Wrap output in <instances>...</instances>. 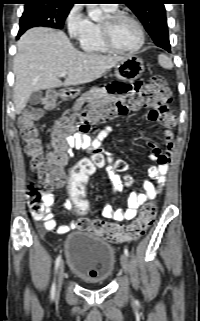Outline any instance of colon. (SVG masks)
I'll list each match as a JSON object with an SVG mask.
<instances>
[{"label": "colon", "instance_id": "colon-1", "mask_svg": "<svg viewBox=\"0 0 200 321\" xmlns=\"http://www.w3.org/2000/svg\"><path fill=\"white\" fill-rule=\"evenodd\" d=\"M136 83H144L145 88L138 90L139 94L134 98H128V102L105 106L101 111L94 108L84 109L57 121L52 132L51 152L48 155H45L43 151L35 122L41 118L43 110H51L56 106L55 94L49 93L43 98V108L30 107L24 112L19 120L21 140L31 159V167L39 180L38 186L30 185L28 187V206L33 217L38 219L46 214L47 207L43 195L53 188L56 181L64 177L63 166L67 151L64 138L70 131L77 129L80 133H85L100 118L111 119L116 115L126 114L129 109H138L144 106L162 108L172 99V91L161 76H153L147 82ZM173 123L174 120L170 117L168 124L171 126ZM103 164L104 160L101 157L93 156L81 160L71 170L65 197L70 198L71 208L76 216L87 215L90 203L85 196V183L89 175ZM115 167L118 171H123L126 165L119 160L116 161ZM126 181L129 183L130 179L127 178ZM156 213V205L150 202L141 208L138 217L129 225L86 218H81L78 225L80 228L111 242L124 243L143 236L154 222Z\"/></svg>", "mask_w": 200, "mask_h": 321}]
</instances>
